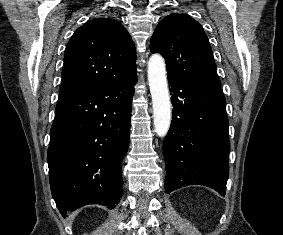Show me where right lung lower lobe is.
I'll return each mask as SVG.
<instances>
[{
	"label": "right lung lower lobe",
	"mask_w": 283,
	"mask_h": 235,
	"mask_svg": "<svg viewBox=\"0 0 283 235\" xmlns=\"http://www.w3.org/2000/svg\"><path fill=\"white\" fill-rule=\"evenodd\" d=\"M136 81L135 72L57 102L47 159L63 215L87 204L113 209L119 203Z\"/></svg>",
	"instance_id": "right-lung-lower-lobe-1"
}]
</instances>
